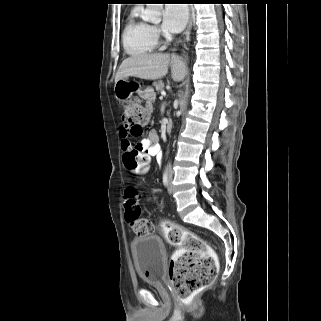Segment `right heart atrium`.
<instances>
[{"instance_id":"obj_1","label":"right heart atrium","mask_w":321,"mask_h":321,"mask_svg":"<svg viewBox=\"0 0 321 321\" xmlns=\"http://www.w3.org/2000/svg\"><path fill=\"white\" fill-rule=\"evenodd\" d=\"M153 30H154V32H155L156 34L159 33V31H158V29H157L156 27H153Z\"/></svg>"}]
</instances>
